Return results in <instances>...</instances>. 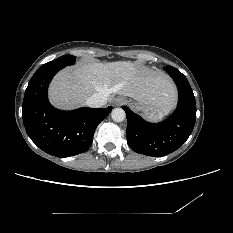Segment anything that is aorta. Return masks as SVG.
Segmentation results:
<instances>
[{
	"mask_svg": "<svg viewBox=\"0 0 233 233\" xmlns=\"http://www.w3.org/2000/svg\"><path fill=\"white\" fill-rule=\"evenodd\" d=\"M111 117L116 122H121L126 118V113L122 108H115L111 112Z\"/></svg>",
	"mask_w": 233,
	"mask_h": 233,
	"instance_id": "762f6f07",
	"label": "aorta"
}]
</instances>
